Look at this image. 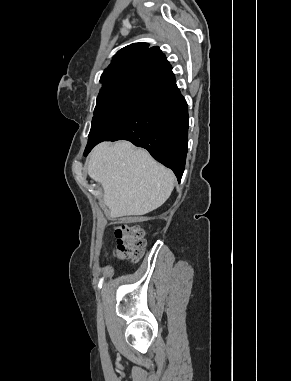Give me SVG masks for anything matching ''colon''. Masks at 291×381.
Listing matches in <instances>:
<instances>
[{
	"label": "colon",
	"mask_w": 291,
	"mask_h": 381,
	"mask_svg": "<svg viewBox=\"0 0 291 381\" xmlns=\"http://www.w3.org/2000/svg\"><path fill=\"white\" fill-rule=\"evenodd\" d=\"M116 238L115 255L121 259L136 261L142 255L144 242L143 233L139 226L118 224L114 227Z\"/></svg>",
	"instance_id": "colon-1"
}]
</instances>
